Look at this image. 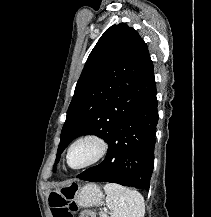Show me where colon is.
<instances>
[{
    "mask_svg": "<svg viewBox=\"0 0 211 217\" xmlns=\"http://www.w3.org/2000/svg\"><path fill=\"white\" fill-rule=\"evenodd\" d=\"M77 186L75 184L61 190L52 191L49 195V205L53 217H74L77 205L74 201ZM80 217H95L92 211H84Z\"/></svg>",
    "mask_w": 211,
    "mask_h": 217,
    "instance_id": "colon-1",
    "label": "colon"
}]
</instances>
